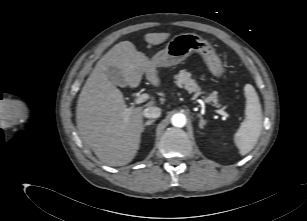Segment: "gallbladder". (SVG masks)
<instances>
[{"label":"gallbladder","mask_w":307,"mask_h":221,"mask_svg":"<svg viewBox=\"0 0 307 221\" xmlns=\"http://www.w3.org/2000/svg\"><path fill=\"white\" fill-rule=\"evenodd\" d=\"M106 74L114 85L126 86L125 78L120 69L116 67H109Z\"/></svg>","instance_id":"1"}]
</instances>
